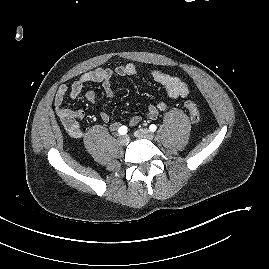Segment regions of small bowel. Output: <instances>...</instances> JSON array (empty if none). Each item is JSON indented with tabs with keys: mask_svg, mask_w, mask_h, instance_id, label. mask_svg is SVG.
Wrapping results in <instances>:
<instances>
[{
	"mask_svg": "<svg viewBox=\"0 0 269 269\" xmlns=\"http://www.w3.org/2000/svg\"><path fill=\"white\" fill-rule=\"evenodd\" d=\"M138 74V68L133 63L125 65H119L115 69L97 68L92 71L82 74L77 78L70 87L66 84L61 85L54 98V106L57 116L62 121L68 134L73 138H80L83 135V130L78 121L85 117V112L82 109H69L64 106L66 95L71 98H76L81 93L83 88L88 83H100L107 97H112L114 92L112 89V78L114 75L125 77H134ZM151 78L161 85L170 98H186L189 95V88L187 84L179 77L169 75L157 69L149 71ZM86 99L89 103L93 104L96 101V94L94 91L89 90L86 92ZM167 109V104L164 101H159L156 104H152L147 109V116L150 119H155L160 112ZM100 119L107 123L110 120V116L107 112L100 113ZM141 117L138 115L132 116L129 120V124L134 126L138 124ZM121 124L119 122H112L110 124V130H119Z\"/></svg>",
	"mask_w": 269,
	"mask_h": 269,
	"instance_id": "1",
	"label": "small bowel"
}]
</instances>
